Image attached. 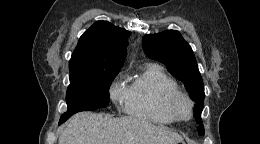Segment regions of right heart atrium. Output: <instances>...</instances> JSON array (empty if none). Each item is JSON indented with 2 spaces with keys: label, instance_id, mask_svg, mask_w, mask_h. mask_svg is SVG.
<instances>
[{
  "label": "right heart atrium",
  "instance_id": "right-heart-atrium-1",
  "mask_svg": "<svg viewBox=\"0 0 260 144\" xmlns=\"http://www.w3.org/2000/svg\"><path fill=\"white\" fill-rule=\"evenodd\" d=\"M110 96L115 103H121L125 100L126 89L118 80L111 85Z\"/></svg>",
  "mask_w": 260,
  "mask_h": 144
}]
</instances>
